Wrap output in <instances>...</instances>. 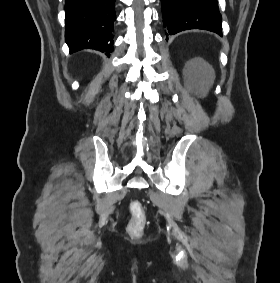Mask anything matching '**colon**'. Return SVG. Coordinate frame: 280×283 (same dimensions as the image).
Segmentation results:
<instances>
[{
	"mask_svg": "<svg viewBox=\"0 0 280 283\" xmlns=\"http://www.w3.org/2000/svg\"><path fill=\"white\" fill-rule=\"evenodd\" d=\"M131 218L127 225V232L129 235L140 236L146 226V213L143 205L139 201H132L129 206Z\"/></svg>",
	"mask_w": 280,
	"mask_h": 283,
	"instance_id": "1",
	"label": "colon"
}]
</instances>
